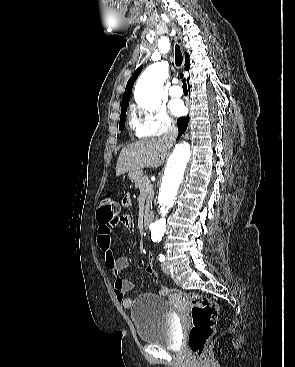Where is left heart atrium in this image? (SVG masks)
Listing matches in <instances>:
<instances>
[{"label":"left heart atrium","mask_w":295,"mask_h":367,"mask_svg":"<svg viewBox=\"0 0 295 367\" xmlns=\"http://www.w3.org/2000/svg\"><path fill=\"white\" fill-rule=\"evenodd\" d=\"M170 109L174 115H182L185 111V107L181 101H173L170 105Z\"/></svg>","instance_id":"39dd6f15"}]
</instances>
